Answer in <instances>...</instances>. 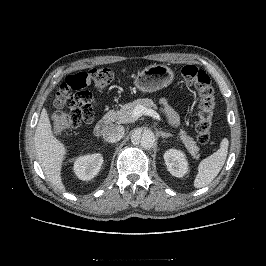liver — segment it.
I'll use <instances>...</instances> for the list:
<instances>
[{"instance_id": "1", "label": "liver", "mask_w": 266, "mask_h": 266, "mask_svg": "<svg viewBox=\"0 0 266 266\" xmlns=\"http://www.w3.org/2000/svg\"><path fill=\"white\" fill-rule=\"evenodd\" d=\"M36 156L48 181L59 191H64L61 168L67 154L66 146L52 133L50 119L45 108L42 109L35 135Z\"/></svg>"}]
</instances>
